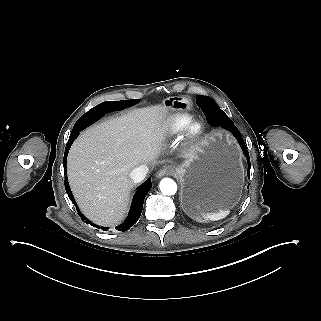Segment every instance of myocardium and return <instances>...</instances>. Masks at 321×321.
Returning <instances> with one entry per match:
<instances>
[{
  "mask_svg": "<svg viewBox=\"0 0 321 321\" xmlns=\"http://www.w3.org/2000/svg\"><path fill=\"white\" fill-rule=\"evenodd\" d=\"M204 134L205 127L202 121L192 118L178 131V146L183 151H190L201 143Z\"/></svg>",
  "mask_w": 321,
  "mask_h": 321,
  "instance_id": "1",
  "label": "myocardium"
}]
</instances>
